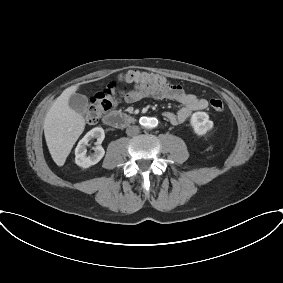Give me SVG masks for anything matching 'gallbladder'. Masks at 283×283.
Listing matches in <instances>:
<instances>
[{
	"mask_svg": "<svg viewBox=\"0 0 283 283\" xmlns=\"http://www.w3.org/2000/svg\"><path fill=\"white\" fill-rule=\"evenodd\" d=\"M69 107L79 114H85L88 106V99L85 95L73 93L69 97Z\"/></svg>",
	"mask_w": 283,
	"mask_h": 283,
	"instance_id": "bac80fb5",
	"label": "gallbladder"
}]
</instances>
